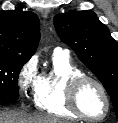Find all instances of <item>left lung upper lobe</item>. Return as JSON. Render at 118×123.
Masks as SVG:
<instances>
[{"mask_svg":"<svg viewBox=\"0 0 118 123\" xmlns=\"http://www.w3.org/2000/svg\"><path fill=\"white\" fill-rule=\"evenodd\" d=\"M60 39L101 81L118 118V43L92 11H70L54 17Z\"/></svg>","mask_w":118,"mask_h":123,"instance_id":"5c2ea615","label":"left lung upper lobe"}]
</instances>
